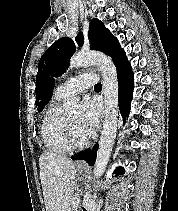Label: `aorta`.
Returning <instances> with one entry per match:
<instances>
[{"label":"aorta","mask_w":178,"mask_h":211,"mask_svg":"<svg viewBox=\"0 0 178 211\" xmlns=\"http://www.w3.org/2000/svg\"><path fill=\"white\" fill-rule=\"evenodd\" d=\"M90 65H96L101 71L103 78L104 121L93 171L95 177L99 178L105 172L116 138L118 125V78L112 59L103 53L82 51L72 56L69 61V66L73 69ZM78 109L79 104L77 100L72 99L67 102L66 110L77 111Z\"/></svg>","instance_id":"aorta-1"}]
</instances>
